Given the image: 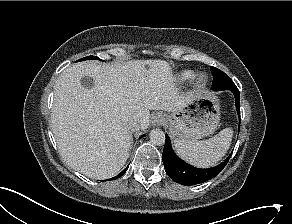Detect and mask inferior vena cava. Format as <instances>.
<instances>
[{"label": "inferior vena cava", "instance_id": "1", "mask_svg": "<svg viewBox=\"0 0 292 224\" xmlns=\"http://www.w3.org/2000/svg\"><path fill=\"white\" fill-rule=\"evenodd\" d=\"M126 128L129 132L138 131L140 129L139 123L134 119H128L126 121Z\"/></svg>", "mask_w": 292, "mask_h": 224}]
</instances>
